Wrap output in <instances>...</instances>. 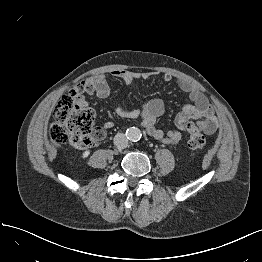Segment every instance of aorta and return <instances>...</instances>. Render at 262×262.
I'll return each instance as SVG.
<instances>
[{
    "label": "aorta",
    "mask_w": 262,
    "mask_h": 262,
    "mask_svg": "<svg viewBox=\"0 0 262 262\" xmlns=\"http://www.w3.org/2000/svg\"><path fill=\"white\" fill-rule=\"evenodd\" d=\"M141 136V131L137 127H131L127 130V137L131 141H138L140 140Z\"/></svg>",
    "instance_id": "obj_1"
}]
</instances>
